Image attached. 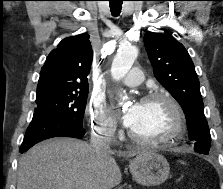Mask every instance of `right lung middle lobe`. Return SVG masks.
Instances as JSON below:
<instances>
[{
	"mask_svg": "<svg viewBox=\"0 0 223 189\" xmlns=\"http://www.w3.org/2000/svg\"><path fill=\"white\" fill-rule=\"evenodd\" d=\"M88 88L38 92L34 115H42L68 121L82 127Z\"/></svg>",
	"mask_w": 223,
	"mask_h": 189,
	"instance_id": "1",
	"label": "right lung middle lobe"
}]
</instances>
